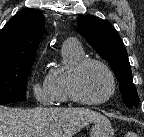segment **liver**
Here are the masks:
<instances>
[{"label": "liver", "instance_id": "1", "mask_svg": "<svg viewBox=\"0 0 144 137\" xmlns=\"http://www.w3.org/2000/svg\"><path fill=\"white\" fill-rule=\"evenodd\" d=\"M104 119L102 114L87 108L0 106V137H73L85 126Z\"/></svg>", "mask_w": 144, "mask_h": 137}]
</instances>
